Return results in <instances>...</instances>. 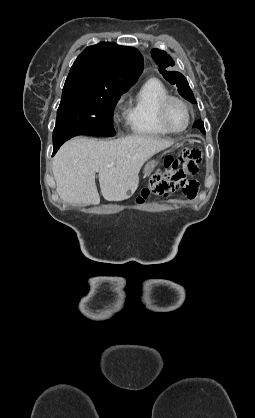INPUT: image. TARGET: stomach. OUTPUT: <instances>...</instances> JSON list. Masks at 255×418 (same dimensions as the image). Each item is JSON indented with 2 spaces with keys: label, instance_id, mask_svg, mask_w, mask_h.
Here are the masks:
<instances>
[{
  "label": "stomach",
  "instance_id": "0dacf381",
  "mask_svg": "<svg viewBox=\"0 0 255 418\" xmlns=\"http://www.w3.org/2000/svg\"><path fill=\"white\" fill-rule=\"evenodd\" d=\"M156 167V162L155 161H151L149 163H147V165L144 168V176H148Z\"/></svg>",
  "mask_w": 255,
  "mask_h": 418
}]
</instances>
